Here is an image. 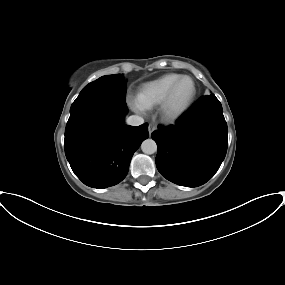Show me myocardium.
Returning a JSON list of instances; mask_svg holds the SVG:
<instances>
[{
    "instance_id": "obj_1",
    "label": "myocardium",
    "mask_w": 285,
    "mask_h": 285,
    "mask_svg": "<svg viewBox=\"0 0 285 285\" xmlns=\"http://www.w3.org/2000/svg\"><path fill=\"white\" fill-rule=\"evenodd\" d=\"M184 79H190L193 83V93L189 99V101L181 108L179 109H174L172 107V100L174 93L180 84V82ZM197 93H198V88L196 81L194 80L193 77L189 75H182L179 77L169 88L168 92L166 93L164 99L160 103V113L161 116L163 117L164 120L172 122L180 119L183 117L194 105L196 98H197Z\"/></svg>"
}]
</instances>
